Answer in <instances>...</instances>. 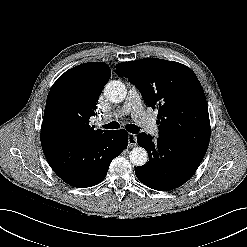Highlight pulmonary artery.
Listing matches in <instances>:
<instances>
[{
  "label": "pulmonary artery",
  "mask_w": 247,
  "mask_h": 247,
  "mask_svg": "<svg viewBox=\"0 0 247 247\" xmlns=\"http://www.w3.org/2000/svg\"><path fill=\"white\" fill-rule=\"evenodd\" d=\"M131 115L132 118L150 135L158 136V128L153 119L145 112L141 96L135 88L128 92L122 108L114 113L115 117ZM105 119L101 120L104 123Z\"/></svg>",
  "instance_id": "pulmonary-artery-1"
}]
</instances>
